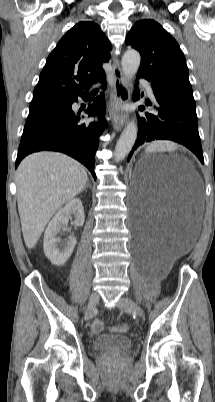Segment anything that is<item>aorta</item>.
<instances>
[{
	"instance_id": "obj_1",
	"label": "aorta",
	"mask_w": 215,
	"mask_h": 402,
	"mask_svg": "<svg viewBox=\"0 0 215 402\" xmlns=\"http://www.w3.org/2000/svg\"><path fill=\"white\" fill-rule=\"evenodd\" d=\"M141 57L135 50H128L124 53L121 61L122 71L127 79L134 77L139 69ZM138 127L134 121L127 123L115 147L114 159L119 162L131 151L136 138Z\"/></svg>"
}]
</instances>
